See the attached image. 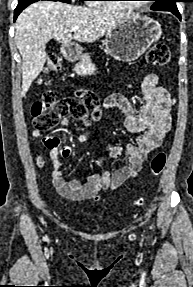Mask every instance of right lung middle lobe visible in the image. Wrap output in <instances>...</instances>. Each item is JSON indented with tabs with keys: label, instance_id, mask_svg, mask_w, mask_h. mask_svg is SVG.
<instances>
[{
	"label": "right lung middle lobe",
	"instance_id": "1",
	"mask_svg": "<svg viewBox=\"0 0 193 287\" xmlns=\"http://www.w3.org/2000/svg\"><path fill=\"white\" fill-rule=\"evenodd\" d=\"M52 1H60V2H65V3L71 2V0H52ZM80 1H85V0H80Z\"/></svg>",
	"mask_w": 193,
	"mask_h": 287
}]
</instances>
